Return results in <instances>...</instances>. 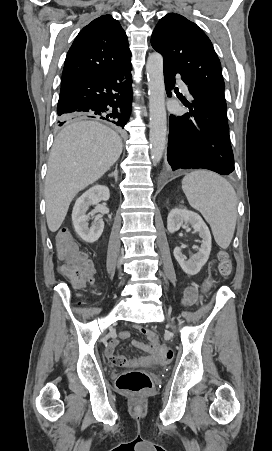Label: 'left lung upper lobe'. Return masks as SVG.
Masks as SVG:
<instances>
[{
  "mask_svg": "<svg viewBox=\"0 0 272 451\" xmlns=\"http://www.w3.org/2000/svg\"><path fill=\"white\" fill-rule=\"evenodd\" d=\"M152 47L184 82L226 109L221 64L207 35L184 16L169 13L156 25Z\"/></svg>",
  "mask_w": 272,
  "mask_h": 451,
  "instance_id": "1",
  "label": "left lung upper lobe"
}]
</instances>
